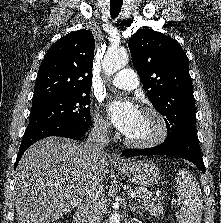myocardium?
I'll use <instances>...</instances> for the list:
<instances>
[{
	"label": "myocardium",
	"instance_id": "myocardium-1",
	"mask_svg": "<svg viewBox=\"0 0 221 223\" xmlns=\"http://www.w3.org/2000/svg\"><path fill=\"white\" fill-rule=\"evenodd\" d=\"M144 114L152 115L158 125L157 133L149 139L132 140L127 136L124 137V142L128 146L135 148H152L161 144L168 135V123L163 114L153 107H144L141 111Z\"/></svg>",
	"mask_w": 221,
	"mask_h": 223
}]
</instances>
